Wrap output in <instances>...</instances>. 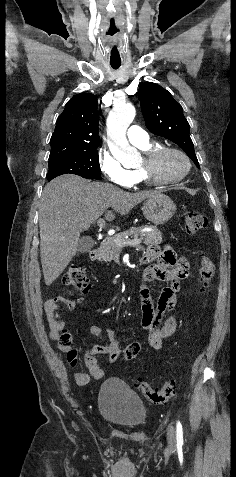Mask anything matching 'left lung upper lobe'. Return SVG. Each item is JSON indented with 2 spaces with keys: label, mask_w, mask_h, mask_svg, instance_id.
<instances>
[{
  "label": "left lung upper lobe",
  "mask_w": 236,
  "mask_h": 477,
  "mask_svg": "<svg viewBox=\"0 0 236 477\" xmlns=\"http://www.w3.org/2000/svg\"><path fill=\"white\" fill-rule=\"evenodd\" d=\"M139 100L146 127L180 146L200 168L189 135V123L181 105L170 92L155 83L146 82L139 88Z\"/></svg>",
  "instance_id": "5c2ea615"
}]
</instances>
